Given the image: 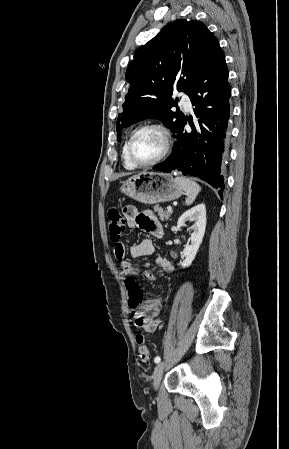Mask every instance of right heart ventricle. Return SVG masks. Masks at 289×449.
Segmentation results:
<instances>
[{
	"label": "right heart ventricle",
	"mask_w": 289,
	"mask_h": 449,
	"mask_svg": "<svg viewBox=\"0 0 289 449\" xmlns=\"http://www.w3.org/2000/svg\"><path fill=\"white\" fill-rule=\"evenodd\" d=\"M127 144H128V141L124 144L123 149H122L123 163L127 169H134L136 166L130 161V159L128 157Z\"/></svg>",
	"instance_id": "right-heart-ventricle-1"
}]
</instances>
